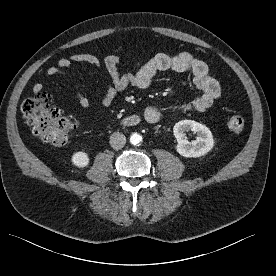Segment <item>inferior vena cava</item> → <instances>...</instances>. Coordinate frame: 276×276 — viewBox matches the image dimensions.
Masks as SVG:
<instances>
[{
  "mask_svg": "<svg viewBox=\"0 0 276 276\" xmlns=\"http://www.w3.org/2000/svg\"><path fill=\"white\" fill-rule=\"evenodd\" d=\"M113 149H121L126 144V137L120 132H114L109 141Z\"/></svg>",
  "mask_w": 276,
  "mask_h": 276,
  "instance_id": "1",
  "label": "inferior vena cava"
}]
</instances>
